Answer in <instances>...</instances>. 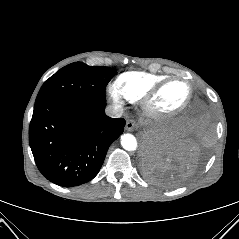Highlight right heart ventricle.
<instances>
[{"label": "right heart ventricle", "mask_w": 239, "mask_h": 239, "mask_svg": "<svg viewBox=\"0 0 239 239\" xmlns=\"http://www.w3.org/2000/svg\"><path fill=\"white\" fill-rule=\"evenodd\" d=\"M166 79L164 75L128 71L119 75L115 85L127 100L135 102L141 100L148 91Z\"/></svg>", "instance_id": "e07e8e85"}]
</instances>
